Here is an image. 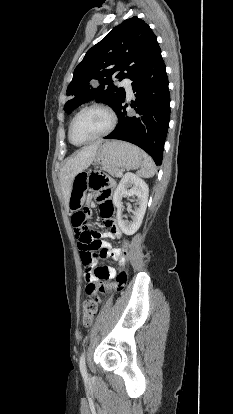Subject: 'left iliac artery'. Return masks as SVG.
I'll return each instance as SVG.
<instances>
[{"mask_svg": "<svg viewBox=\"0 0 233 414\" xmlns=\"http://www.w3.org/2000/svg\"><path fill=\"white\" fill-rule=\"evenodd\" d=\"M79 366H80V371H81L82 376L86 377L87 371H86V365H85V352H83L82 355L80 356Z\"/></svg>", "mask_w": 233, "mask_h": 414, "instance_id": "44dca946", "label": "left iliac artery"}]
</instances>
